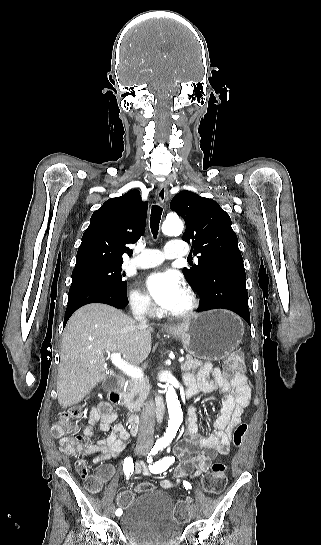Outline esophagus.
<instances>
[{
	"label": "esophagus",
	"instance_id": "obj_1",
	"mask_svg": "<svg viewBox=\"0 0 321 545\" xmlns=\"http://www.w3.org/2000/svg\"><path fill=\"white\" fill-rule=\"evenodd\" d=\"M158 200L161 205H163L167 198V187L166 185H160L158 190ZM165 328L172 329L173 326L171 324L164 325Z\"/></svg>",
	"mask_w": 321,
	"mask_h": 545
}]
</instances>
